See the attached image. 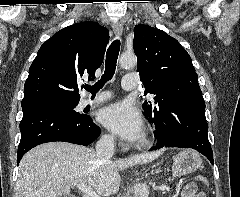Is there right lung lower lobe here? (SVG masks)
<instances>
[{"mask_svg": "<svg viewBox=\"0 0 240 197\" xmlns=\"http://www.w3.org/2000/svg\"><path fill=\"white\" fill-rule=\"evenodd\" d=\"M22 110L17 164L27 151L39 144L63 141L87 146L100 134V128L87 115L82 120H76L46 104L28 105Z\"/></svg>", "mask_w": 240, "mask_h": 197, "instance_id": "98d812e1", "label": "right lung lower lobe"}]
</instances>
